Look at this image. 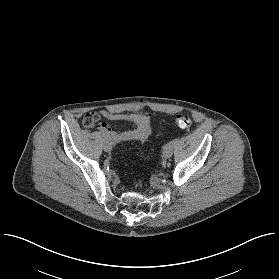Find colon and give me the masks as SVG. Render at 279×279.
<instances>
[{"label":"colon","mask_w":279,"mask_h":279,"mask_svg":"<svg viewBox=\"0 0 279 279\" xmlns=\"http://www.w3.org/2000/svg\"><path fill=\"white\" fill-rule=\"evenodd\" d=\"M174 125L180 129L189 128L191 125V119L188 115L179 114L174 119ZM88 128V125H85Z\"/></svg>","instance_id":"colon-1"}]
</instances>
